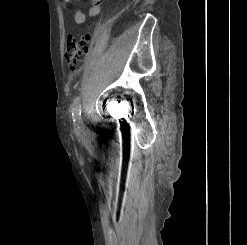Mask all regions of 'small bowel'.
Segmentation results:
<instances>
[{"mask_svg":"<svg viewBox=\"0 0 247 245\" xmlns=\"http://www.w3.org/2000/svg\"><path fill=\"white\" fill-rule=\"evenodd\" d=\"M65 3H70L74 0H64ZM90 7L87 11L82 10L80 7H76L73 11V19L76 24H84L87 19L96 17L101 10L102 0H89Z\"/></svg>","mask_w":247,"mask_h":245,"instance_id":"1","label":"small bowel"}]
</instances>
